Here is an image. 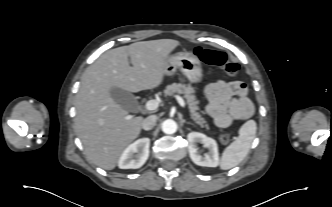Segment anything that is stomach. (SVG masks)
<instances>
[{
  "label": "stomach",
  "mask_w": 332,
  "mask_h": 207,
  "mask_svg": "<svg viewBox=\"0 0 332 207\" xmlns=\"http://www.w3.org/2000/svg\"><path fill=\"white\" fill-rule=\"evenodd\" d=\"M177 69H179L192 84H198L202 81L203 71L201 62L198 57L191 52H178L168 57L165 75L172 76Z\"/></svg>",
  "instance_id": "0dacf381"
}]
</instances>
